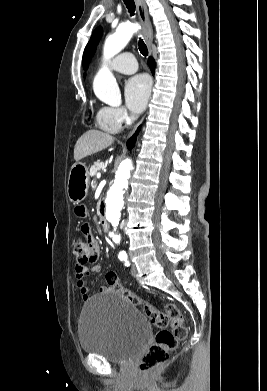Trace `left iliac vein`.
Listing matches in <instances>:
<instances>
[{
  "label": "left iliac vein",
  "instance_id": "4c4485c4",
  "mask_svg": "<svg viewBox=\"0 0 267 391\" xmlns=\"http://www.w3.org/2000/svg\"><path fill=\"white\" fill-rule=\"evenodd\" d=\"M136 274H137V269H136V266L133 264L131 267V275L136 276Z\"/></svg>",
  "mask_w": 267,
  "mask_h": 391
}]
</instances>
